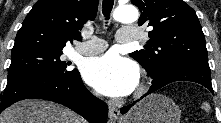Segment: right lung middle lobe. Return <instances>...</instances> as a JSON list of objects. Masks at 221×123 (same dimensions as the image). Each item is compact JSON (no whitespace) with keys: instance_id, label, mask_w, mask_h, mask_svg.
Segmentation results:
<instances>
[{"instance_id":"right-lung-middle-lobe-1","label":"right lung middle lobe","mask_w":221,"mask_h":123,"mask_svg":"<svg viewBox=\"0 0 221 123\" xmlns=\"http://www.w3.org/2000/svg\"><path fill=\"white\" fill-rule=\"evenodd\" d=\"M62 50L28 49L11 54V65L8 79L40 74L49 78H64L78 72L77 69L67 70L70 62L61 59Z\"/></svg>"}]
</instances>
